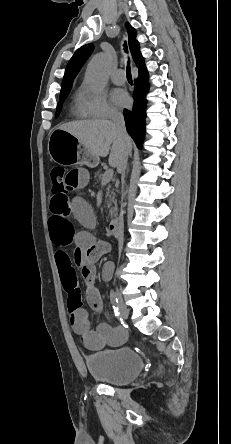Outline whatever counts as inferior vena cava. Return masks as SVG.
<instances>
[{
    "mask_svg": "<svg viewBox=\"0 0 231 444\" xmlns=\"http://www.w3.org/2000/svg\"><path fill=\"white\" fill-rule=\"evenodd\" d=\"M111 119H112V122H113V124H114V126H115V128H116V130L118 131V133H119V135H120V137L126 142V144H125V157L126 158H124V160H123V162H122V164H121V166L118 168V172L119 173H121L122 174V177L124 178L125 177V171H126V167H127V157L129 156L128 154V149H129V147H130V144H129V137H128V134H127V132H126V128H125V121H124V118H123V115L121 114V113H118V112H114V113H112V115H111ZM125 194L128 192L126 189L123 191ZM123 206L121 207V209L119 210V212H118V230H120V231H118V236H120L119 237V247H121V241H122V236L124 235H126L127 233L125 232L126 231V228L125 227H123L124 226V224L128 221L124 216H123V213H124V211L126 210V207L124 206L126 203L123 201L122 203H121Z\"/></svg>",
    "mask_w": 231,
    "mask_h": 444,
    "instance_id": "602c4592",
    "label": "inferior vena cava"
}]
</instances>
